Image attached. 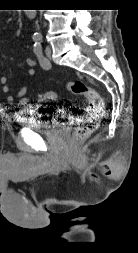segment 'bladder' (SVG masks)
I'll return each mask as SVG.
<instances>
[{
  "instance_id": "1",
  "label": "bladder",
  "mask_w": 138,
  "mask_h": 253,
  "mask_svg": "<svg viewBox=\"0 0 138 253\" xmlns=\"http://www.w3.org/2000/svg\"><path fill=\"white\" fill-rule=\"evenodd\" d=\"M19 123L21 126L39 132L50 133L62 127V125L49 117V113L41 106H32L19 112Z\"/></svg>"
}]
</instances>
